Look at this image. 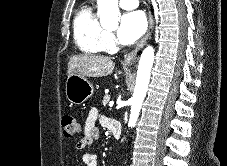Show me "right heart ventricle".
<instances>
[{
	"instance_id": "right-heart-ventricle-1",
	"label": "right heart ventricle",
	"mask_w": 227,
	"mask_h": 166,
	"mask_svg": "<svg viewBox=\"0 0 227 166\" xmlns=\"http://www.w3.org/2000/svg\"><path fill=\"white\" fill-rule=\"evenodd\" d=\"M74 42L85 54H97L106 50L107 30L94 13L91 5H84L73 21Z\"/></svg>"
}]
</instances>
